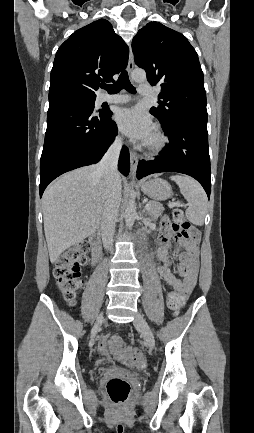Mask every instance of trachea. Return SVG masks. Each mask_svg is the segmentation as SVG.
Returning <instances> with one entry per match:
<instances>
[{"label":"trachea","mask_w":254,"mask_h":433,"mask_svg":"<svg viewBox=\"0 0 254 433\" xmlns=\"http://www.w3.org/2000/svg\"><path fill=\"white\" fill-rule=\"evenodd\" d=\"M101 87L105 89L109 94H116L123 88H125L128 92L132 93L136 91L135 87L131 84L129 80L127 71H123L120 74L116 83L112 85H102Z\"/></svg>","instance_id":"1"}]
</instances>
